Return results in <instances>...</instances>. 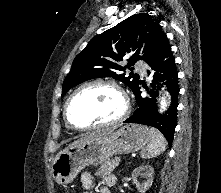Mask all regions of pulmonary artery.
Instances as JSON below:
<instances>
[{
	"mask_svg": "<svg viewBox=\"0 0 221 193\" xmlns=\"http://www.w3.org/2000/svg\"><path fill=\"white\" fill-rule=\"evenodd\" d=\"M136 70H137L141 75H145V74H146V65H145V64H141V63H137V64H136Z\"/></svg>",
	"mask_w": 221,
	"mask_h": 193,
	"instance_id": "1",
	"label": "pulmonary artery"
}]
</instances>
